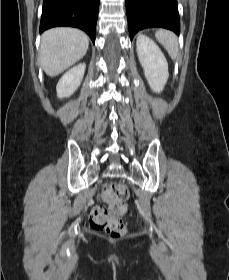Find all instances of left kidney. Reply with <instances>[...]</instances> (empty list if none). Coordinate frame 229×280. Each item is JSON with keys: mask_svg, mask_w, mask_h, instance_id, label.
I'll return each mask as SVG.
<instances>
[{"mask_svg": "<svg viewBox=\"0 0 229 280\" xmlns=\"http://www.w3.org/2000/svg\"><path fill=\"white\" fill-rule=\"evenodd\" d=\"M136 50L151 89L160 93L169 77L167 60L160 48L145 35H139Z\"/></svg>", "mask_w": 229, "mask_h": 280, "instance_id": "5707ae66", "label": "left kidney"}]
</instances>
